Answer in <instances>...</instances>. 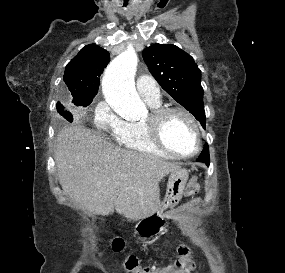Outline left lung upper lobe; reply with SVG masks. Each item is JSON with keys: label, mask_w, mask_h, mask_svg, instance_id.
Returning a JSON list of instances; mask_svg holds the SVG:
<instances>
[{"label": "left lung upper lobe", "mask_w": 285, "mask_h": 273, "mask_svg": "<svg viewBox=\"0 0 285 273\" xmlns=\"http://www.w3.org/2000/svg\"><path fill=\"white\" fill-rule=\"evenodd\" d=\"M142 55L161 87L205 128L201 71L192 57L175 45L158 43L144 49Z\"/></svg>", "instance_id": "5c2ea615"}]
</instances>
